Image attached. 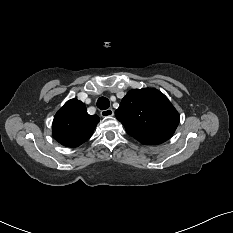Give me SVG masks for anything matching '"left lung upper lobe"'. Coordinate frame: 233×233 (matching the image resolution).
I'll return each instance as SVG.
<instances>
[{
    "label": "left lung upper lobe",
    "instance_id": "5c2ea615",
    "mask_svg": "<svg viewBox=\"0 0 233 233\" xmlns=\"http://www.w3.org/2000/svg\"><path fill=\"white\" fill-rule=\"evenodd\" d=\"M115 115L126 132L145 145L168 140L180 120L168 98L152 88L130 90Z\"/></svg>",
    "mask_w": 233,
    "mask_h": 233
}]
</instances>
